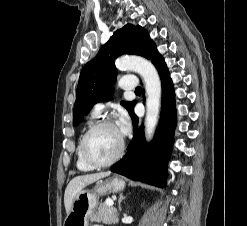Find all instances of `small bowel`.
<instances>
[{
	"instance_id": "c3829d8e",
	"label": "small bowel",
	"mask_w": 247,
	"mask_h": 226,
	"mask_svg": "<svg viewBox=\"0 0 247 226\" xmlns=\"http://www.w3.org/2000/svg\"><path fill=\"white\" fill-rule=\"evenodd\" d=\"M93 226H102V225H93Z\"/></svg>"
}]
</instances>
